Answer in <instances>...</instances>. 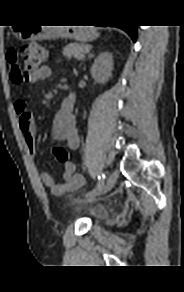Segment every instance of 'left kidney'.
Here are the masks:
<instances>
[{"mask_svg": "<svg viewBox=\"0 0 184 292\" xmlns=\"http://www.w3.org/2000/svg\"><path fill=\"white\" fill-rule=\"evenodd\" d=\"M113 56L109 52L101 53L91 67L92 78L101 84H104L111 77L113 70Z\"/></svg>", "mask_w": 184, "mask_h": 292, "instance_id": "1", "label": "left kidney"}]
</instances>
